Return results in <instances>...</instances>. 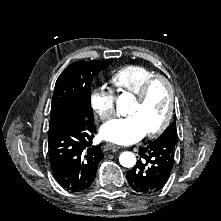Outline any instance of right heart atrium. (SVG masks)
<instances>
[{
	"label": "right heart atrium",
	"instance_id": "obj_1",
	"mask_svg": "<svg viewBox=\"0 0 221 221\" xmlns=\"http://www.w3.org/2000/svg\"><path fill=\"white\" fill-rule=\"evenodd\" d=\"M90 104L102 121L110 119L115 113V95L110 89L95 88L90 95Z\"/></svg>",
	"mask_w": 221,
	"mask_h": 221
}]
</instances>
